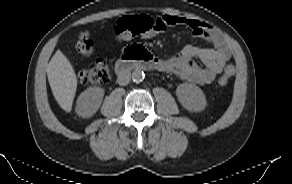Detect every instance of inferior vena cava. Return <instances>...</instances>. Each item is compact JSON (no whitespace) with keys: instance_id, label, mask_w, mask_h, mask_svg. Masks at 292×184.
<instances>
[{"instance_id":"obj_1","label":"inferior vena cava","mask_w":292,"mask_h":184,"mask_svg":"<svg viewBox=\"0 0 292 184\" xmlns=\"http://www.w3.org/2000/svg\"><path fill=\"white\" fill-rule=\"evenodd\" d=\"M130 80H131V74L129 71L121 72L117 78L118 84L122 86L127 85L130 82Z\"/></svg>"}]
</instances>
